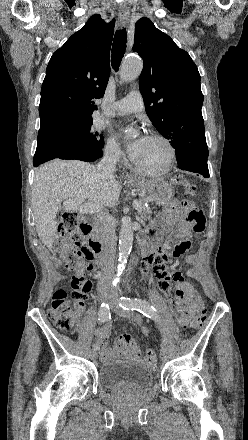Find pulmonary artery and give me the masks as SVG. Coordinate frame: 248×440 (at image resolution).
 <instances>
[{
  "label": "pulmonary artery",
  "instance_id": "1",
  "mask_svg": "<svg viewBox=\"0 0 248 440\" xmlns=\"http://www.w3.org/2000/svg\"><path fill=\"white\" fill-rule=\"evenodd\" d=\"M142 110V95L138 91H132L126 97L111 105L105 114L110 116L124 115L130 113H138Z\"/></svg>",
  "mask_w": 248,
  "mask_h": 440
}]
</instances>
